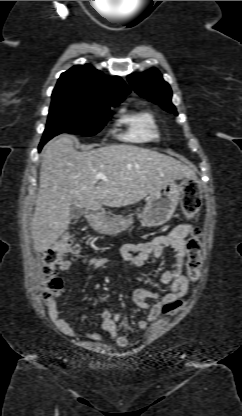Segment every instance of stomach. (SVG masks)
<instances>
[{"instance_id": "stomach-1", "label": "stomach", "mask_w": 242, "mask_h": 416, "mask_svg": "<svg viewBox=\"0 0 242 416\" xmlns=\"http://www.w3.org/2000/svg\"><path fill=\"white\" fill-rule=\"evenodd\" d=\"M181 192L182 185L171 180L151 193L140 217L142 225L157 227L169 221L179 203ZM87 219L95 231L110 236L126 230L132 223L131 219L122 217L108 218L103 211L91 212Z\"/></svg>"}]
</instances>
